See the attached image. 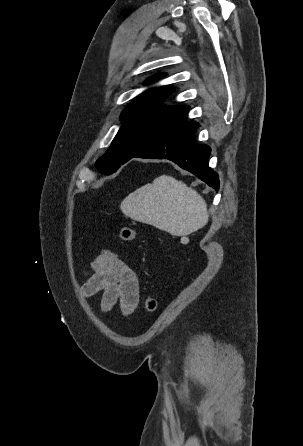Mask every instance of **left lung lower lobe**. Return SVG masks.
Wrapping results in <instances>:
<instances>
[{"label":"left lung lower lobe","instance_id":"obj_1","mask_svg":"<svg viewBox=\"0 0 303 446\" xmlns=\"http://www.w3.org/2000/svg\"><path fill=\"white\" fill-rule=\"evenodd\" d=\"M198 127L199 123L186 121L172 134L154 142L137 154L123 159L121 164L126 163L133 157L169 159L218 190V175L208 166L211 149L207 145L198 144L195 140Z\"/></svg>","mask_w":303,"mask_h":446}]
</instances>
